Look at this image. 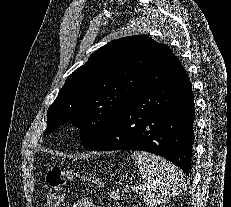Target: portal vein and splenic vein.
I'll use <instances>...</instances> for the list:
<instances>
[{
	"label": "portal vein and splenic vein",
	"instance_id": "obj_1",
	"mask_svg": "<svg viewBox=\"0 0 231 207\" xmlns=\"http://www.w3.org/2000/svg\"><path fill=\"white\" fill-rule=\"evenodd\" d=\"M144 187H145V185H140V186H137V187L133 186V187L131 188V190H132V191H137V190H139V189H143Z\"/></svg>",
	"mask_w": 231,
	"mask_h": 207
}]
</instances>
